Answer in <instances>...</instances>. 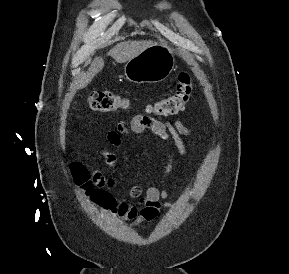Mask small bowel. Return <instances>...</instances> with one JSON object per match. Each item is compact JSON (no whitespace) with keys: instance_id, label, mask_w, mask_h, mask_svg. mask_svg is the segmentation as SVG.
Listing matches in <instances>:
<instances>
[{"instance_id":"c3829d8e","label":"small bowel","mask_w":289,"mask_h":274,"mask_svg":"<svg viewBox=\"0 0 289 274\" xmlns=\"http://www.w3.org/2000/svg\"><path fill=\"white\" fill-rule=\"evenodd\" d=\"M152 133L167 144L172 143L180 156H185L187 149L182 141L183 136H189L191 129L178 120L174 124L159 121L146 115H136L131 122L120 121L115 130L107 133V141L115 147L122 145V136L130 133L143 134ZM191 148H194L191 145ZM111 170H115L117 165V156L106 149L100 152ZM174 155L169 153L166 158L164 168L165 176H168L173 170ZM92 182L98 188H107L114 190L118 187L115 178L104 175L101 171L95 170L92 173ZM126 198L122 199L117 206V213L120 217L130 220L132 225L137 226L143 222L153 221L162 208L170 206V202H162L173 197L177 192H169L165 187L155 186L144 189L141 185H133L126 189ZM130 200H136L132 203Z\"/></svg>"}]
</instances>
